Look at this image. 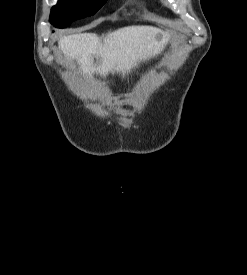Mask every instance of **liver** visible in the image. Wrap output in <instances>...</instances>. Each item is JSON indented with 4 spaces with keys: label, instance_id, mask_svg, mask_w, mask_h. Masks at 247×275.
Returning a JSON list of instances; mask_svg holds the SVG:
<instances>
[{
    "label": "liver",
    "instance_id": "liver-1",
    "mask_svg": "<svg viewBox=\"0 0 247 275\" xmlns=\"http://www.w3.org/2000/svg\"><path fill=\"white\" fill-rule=\"evenodd\" d=\"M159 35L161 40L157 39ZM169 38L170 35L159 28L133 25L101 37L95 33L67 35L59 39L58 45L68 59L77 60L85 75L96 72L106 76L117 72L124 76L141 62L160 54Z\"/></svg>",
    "mask_w": 247,
    "mask_h": 275
}]
</instances>
